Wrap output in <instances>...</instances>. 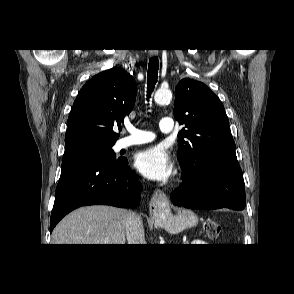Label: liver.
<instances>
[{"label":"liver","instance_id":"liver-1","mask_svg":"<svg viewBox=\"0 0 294 294\" xmlns=\"http://www.w3.org/2000/svg\"><path fill=\"white\" fill-rule=\"evenodd\" d=\"M125 209L94 205L81 207L65 218L52 233V244H125Z\"/></svg>","mask_w":294,"mask_h":294}]
</instances>
